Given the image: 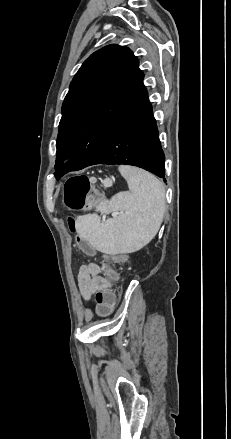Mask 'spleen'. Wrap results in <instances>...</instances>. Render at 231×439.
<instances>
[{"mask_svg": "<svg viewBox=\"0 0 231 439\" xmlns=\"http://www.w3.org/2000/svg\"><path fill=\"white\" fill-rule=\"evenodd\" d=\"M119 171L129 191L100 202L97 209L120 211V215L102 222L96 214L76 220L80 236L108 254L131 253L148 244L161 226L166 207L164 185L154 175L131 166H120Z\"/></svg>", "mask_w": 231, "mask_h": 439, "instance_id": "1", "label": "spleen"}]
</instances>
